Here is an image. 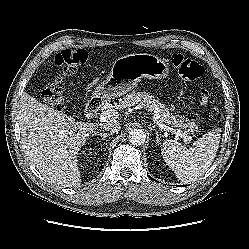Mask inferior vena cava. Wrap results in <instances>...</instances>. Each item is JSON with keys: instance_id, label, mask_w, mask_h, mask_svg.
Listing matches in <instances>:
<instances>
[{"instance_id": "1", "label": "inferior vena cava", "mask_w": 249, "mask_h": 249, "mask_svg": "<svg viewBox=\"0 0 249 249\" xmlns=\"http://www.w3.org/2000/svg\"><path fill=\"white\" fill-rule=\"evenodd\" d=\"M100 128L103 129L104 131H108L111 134L117 133L120 130V124L117 121L114 122H106V123H101Z\"/></svg>"}]
</instances>
